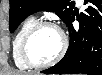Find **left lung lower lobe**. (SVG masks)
I'll use <instances>...</instances> for the list:
<instances>
[{
  "label": "left lung lower lobe",
  "instance_id": "obj_1",
  "mask_svg": "<svg viewBox=\"0 0 102 75\" xmlns=\"http://www.w3.org/2000/svg\"><path fill=\"white\" fill-rule=\"evenodd\" d=\"M85 0L84 3H87ZM89 6L78 19L76 31L72 25L73 12L66 25L70 34V45L65 56L53 67L42 71L50 74L102 75V1L90 0Z\"/></svg>",
  "mask_w": 102,
  "mask_h": 75
}]
</instances>
